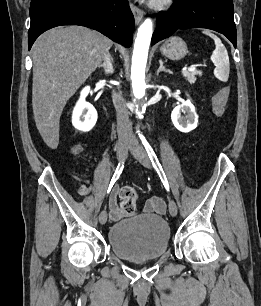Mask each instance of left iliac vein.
Returning a JSON list of instances; mask_svg holds the SVG:
<instances>
[{
	"instance_id": "left-iliac-vein-1",
	"label": "left iliac vein",
	"mask_w": 261,
	"mask_h": 306,
	"mask_svg": "<svg viewBox=\"0 0 261 306\" xmlns=\"http://www.w3.org/2000/svg\"><path fill=\"white\" fill-rule=\"evenodd\" d=\"M129 148L135 153L139 162L146 168H152V162L150 158L143 152L142 148L138 145L136 139H131ZM169 212L172 216H176L178 212L177 205L173 199L169 200Z\"/></svg>"
}]
</instances>
